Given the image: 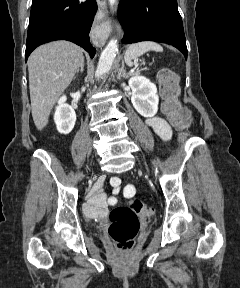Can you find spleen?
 <instances>
[{"mask_svg":"<svg viewBox=\"0 0 240 288\" xmlns=\"http://www.w3.org/2000/svg\"><path fill=\"white\" fill-rule=\"evenodd\" d=\"M151 50L162 52L163 47L153 41H143V42L132 44L128 47V49L125 52V56H124L125 61L131 65L132 60H136L139 56Z\"/></svg>","mask_w":240,"mask_h":288,"instance_id":"spleen-1","label":"spleen"}]
</instances>
